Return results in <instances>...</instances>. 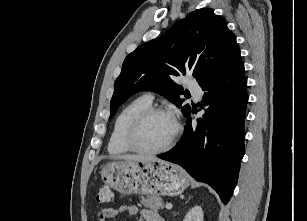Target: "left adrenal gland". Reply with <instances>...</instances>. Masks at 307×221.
<instances>
[{
  "mask_svg": "<svg viewBox=\"0 0 307 221\" xmlns=\"http://www.w3.org/2000/svg\"><path fill=\"white\" fill-rule=\"evenodd\" d=\"M192 198V196H189V199L188 200H190Z\"/></svg>",
  "mask_w": 307,
  "mask_h": 221,
  "instance_id": "left-adrenal-gland-1",
  "label": "left adrenal gland"
}]
</instances>
